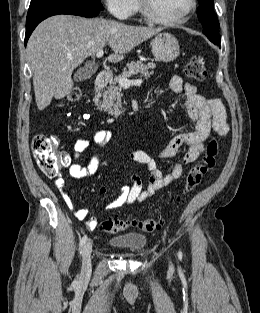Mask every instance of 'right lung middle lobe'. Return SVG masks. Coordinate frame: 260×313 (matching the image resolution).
Returning <instances> with one entry per match:
<instances>
[{
	"label": "right lung middle lobe",
	"mask_w": 260,
	"mask_h": 313,
	"mask_svg": "<svg viewBox=\"0 0 260 313\" xmlns=\"http://www.w3.org/2000/svg\"><path fill=\"white\" fill-rule=\"evenodd\" d=\"M43 2L70 3V4L83 5V6H88L91 8L103 10V6L100 0H31L30 4H37V3H43Z\"/></svg>",
	"instance_id": "right-lung-middle-lobe-1"
}]
</instances>
